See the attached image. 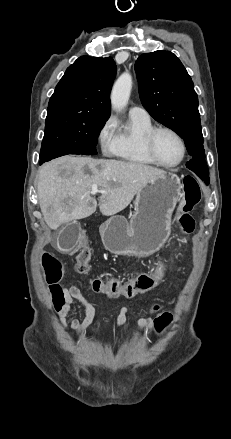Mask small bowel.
Wrapping results in <instances>:
<instances>
[{
    "instance_id": "1",
    "label": "small bowel",
    "mask_w": 231,
    "mask_h": 439,
    "mask_svg": "<svg viewBox=\"0 0 231 439\" xmlns=\"http://www.w3.org/2000/svg\"><path fill=\"white\" fill-rule=\"evenodd\" d=\"M152 288V287H151ZM151 288H148L149 290ZM63 290V308L59 314L61 321L65 322V317L70 310L71 304L74 301H78L84 308L85 316L82 320H73L71 323V328L78 334H82L93 322L95 317L94 306L84 297L80 289L74 285L64 287ZM170 303H173V298H169ZM129 310L127 307H122L119 311L116 320V327L114 333L118 331H125L129 326L128 319ZM153 326V321L151 318H142L138 321V328L140 331L151 330Z\"/></svg>"
}]
</instances>
